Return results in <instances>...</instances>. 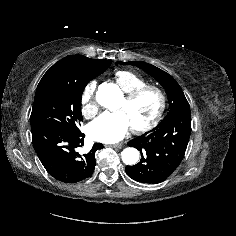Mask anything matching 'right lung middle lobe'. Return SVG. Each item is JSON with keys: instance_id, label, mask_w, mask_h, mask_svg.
<instances>
[{"instance_id": "right-lung-middle-lobe-1", "label": "right lung middle lobe", "mask_w": 236, "mask_h": 236, "mask_svg": "<svg viewBox=\"0 0 236 236\" xmlns=\"http://www.w3.org/2000/svg\"><path fill=\"white\" fill-rule=\"evenodd\" d=\"M102 69L77 79L49 77L40 81L30 116L31 126L45 125L70 134L80 132L81 97L90 80L107 70Z\"/></svg>"}]
</instances>
